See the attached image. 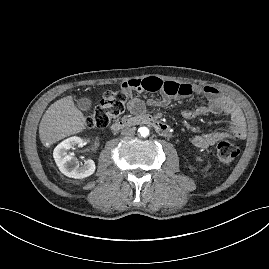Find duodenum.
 I'll use <instances>...</instances> for the list:
<instances>
[{
  "mask_svg": "<svg viewBox=\"0 0 269 269\" xmlns=\"http://www.w3.org/2000/svg\"><path fill=\"white\" fill-rule=\"evenodd\" d=\"M138 124L150 125V126L154 127L155 130L159 134L164 135V136H166L170 133V127L166 123L156 119L155 117H153L151 115H147V114H140V115H137L134 117H130V118L116 121L111 125V130L114 132H117L124 127L134 126V125H138Z\"/></svg>",
  "mask_w": 269,
  "mask_h": 269,
  "instance_id": "obj_1",
  "label": "duodenum"
}]
</instances>
